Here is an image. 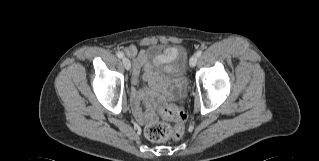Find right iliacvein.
<instances>
[{"mask_svg":"<svg viewBox=\"0 0 319 161\" xmlns=\"http://www.w3.org/2000/svg\"><path fill=\"white\" fill-rule=\"evenodd\" d=\"M122 63L124 65L125 69L129 70L131 68V62L128 58L124 57L122 59Z\"/></svg>","mask_w":319,"mask_h":161,"instance_id":"63e3f726","label":"right iliac vein"}]
</instances>
